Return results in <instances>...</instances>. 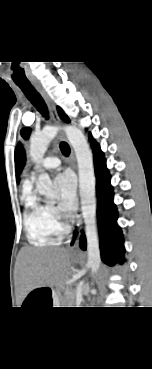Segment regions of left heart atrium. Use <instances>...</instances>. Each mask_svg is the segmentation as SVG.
I'll return each mask as SVG.
<instances>
[{"instance_id": "obj_1", "label": "left heart atrium", "mask_w": 152, "mask_h": 369, "mask_svg": "<svg viewBox=\"0 0 152 369\" xmlns=\"http://www.w3.org/2000/svg\"><path fill=\"white\" fill-rule=\"evenodd\" d=\"M55 184L60 195V208L67 213L73 212L77 206L74 176L70 172H64L56 177Z\"/></svg>"}]
</instances>
